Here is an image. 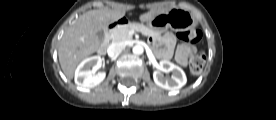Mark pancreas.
<instances>
[{"label":"pancreas","instance_id":"pancreas-1","mask_svg":"<svg viewBox=\"0 0 276 120\" xmlns=\"http://www.w3.org/2000/svg\"><path fill=\"white\" fill-rule=\"evenodd\" d=\"M131 30L141 32L145 36H156L157 33L151 30L150 28L138 24V23H129L127 25L119 26L113 30L111 38L113 42L130 40L132 36L129 34Z\"/></svg>","mask_w":276,"mask_h":120}]
</instances>
